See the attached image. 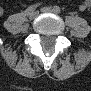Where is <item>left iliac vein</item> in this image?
Instances as JSON below:
<instances>
[{
  "mask_svg": "<svg viewBox=\"0 0 91 91\" xmlns=\"http://www.w3.org/2000/svg\"><path fill=\"white\" fill-rule=\"evenodd\" d=\"M41 11L42 12H53V13H55L54 9L51 8V7H43V8H41Z\"/></svg>",
  "mask_w": 91,
  "mask_h": 91,
  "instance_id": "obj_1",
  "label": "left iliac vein"
}]
</instances>
